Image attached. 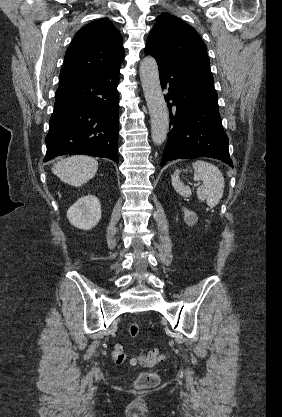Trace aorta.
<instances>
[{
  "label": "aorta",
  "instance_id": "1",
  "mask_svg": "<svg viewBox=\"0 0 282 417\" xmlns=\"http://www.w3.org/2000/svg\"><path fill=\"white\" fill-rule=\"evenodd\" d=\"M139 72L151 118L152 140L155 144H162L169 128V112L160 84L158 64L154 56L142 58Z\"/></svg>",
  "mask_w": 282,
  "mask_h": 417
}]
</instances>
